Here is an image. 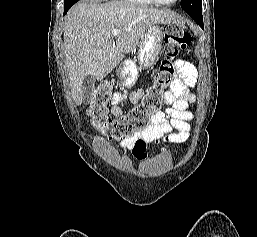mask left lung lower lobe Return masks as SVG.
<instances>
[{
	"instance_id": "0a47b994",
	"label": "left lung lower lobe",
	"mask_w": 257,
	"mask_h": 237,
	"mask_svg": "<svg viewBox=\"0 0 257 237\" xmlns=\"http://www.w3.org/2000/svg\"><path fill=\"white\" fill-rule=\"evenodd\" d=\"M191 17L194 19V21H196V23H197L201 28H204L202 16L192 15Z\"/></svg>"
}]
</instances>
